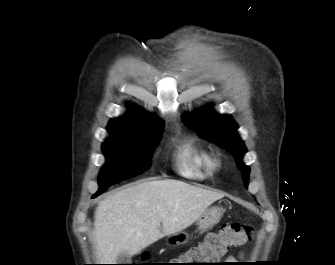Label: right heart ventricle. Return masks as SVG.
<instances>
[{"instance_id": "right-heart-ventricle-1", "label": "right heart ventricle", "mask_w": 335, "mask_h": 265, "mask_svg": "<svg viewBox=\"0 0 335 265\" xmlns=\"http://www.w3.org/2000/svg\"><path fill=\"white\" fill-rule=\"evenodd\" d=\"M177 172L191 180L203 181L215 170L210 152L194 137H186L175 150Z\"/></svg>"}]
</instances>
